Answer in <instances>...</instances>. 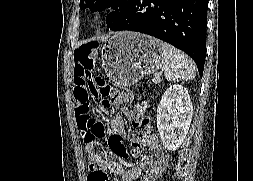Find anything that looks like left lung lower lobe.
<instances>
[{
    "label": "left lung lower lobe",
    "mask_w": 253,
    "mask_h": 181,
    "mask_svg": "<svg viewBox=\"0 0 253 181\" xmlns=\"http://www.w3.org/2000/svg\"><path fill=\"white\" fill-rule=\"evenodd\" d=\"M207 0H134L112 31L145 33L187 53L202 76L206 52Z\"/></svg>",
    "instance_id": "left-lung-lower-lobe-1"
}]
</instances>
